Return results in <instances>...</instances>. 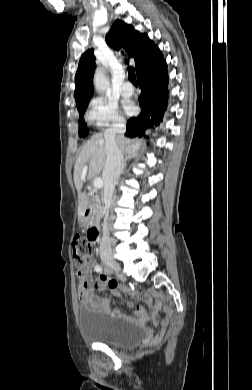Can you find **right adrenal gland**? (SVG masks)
Returning a JSON list of instances; mask_svg holds the SVG:
<instances>
[{
	"instance_id": "2a0ac1e0",
	"label": "right adrenal gland",
	"mask_w": 252,
	"mask_h": 390,
	"mask_svg": "<svg viewBox=\"0 0 252 390\" xmlns=\"http://www.w3.org/2000/svg\"><path fill=\"white\" fill-rule=\"evenodd\" d=\"M133 157L132 156H126L125 158V162H124V168H126V165H127V161L132 159Z\"/></svg>"
}]
</instances>
